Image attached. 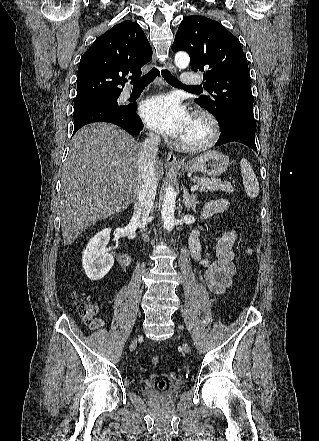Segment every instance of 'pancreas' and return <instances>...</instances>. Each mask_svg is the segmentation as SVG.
Wrapping results in <instances>:
<instances>
[{"label": "pancreas", "instance_id": "pancreas-1", "mask_svg": "<svg viewBox=\"0 0 319 441\" xmlns=\"http://www.w3.org/2000/svg\"><path fill=\"white\" fill-rule=\"evenodd\" d=\"M194 183L196 185H199V191L204 193L214 191H224L227 193H231L234 191V187L231 185V183L226 181L222 182L219 179L195 177Z\"/></svg>", "mask_w": 319, "mask_h": 441}]
</instances>
